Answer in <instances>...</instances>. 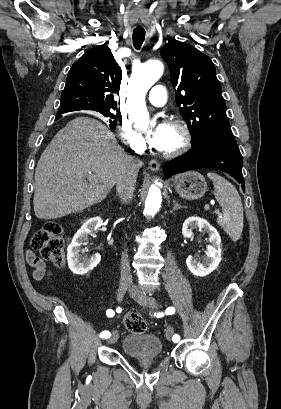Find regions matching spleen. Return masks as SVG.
Masks as SVG:
<instances>
[{
  "label": "spleen",
  "instance_id": "3e777b00",
  "mask_svg": "<svg viewBox=\"0 0 281 409\" xmlns=\"http://www.w3.org/2000/svg\"><path fill=\"white\" fill-rule=\"evenodd\" d=\"M214 184V194L220 207H222V217L217 219L218 225L226 231L231 241H239L244 225L243 205L241 196L229 180L216 174V172H207Z\"/></svg>",
  "mask_w": 281,
  "mask_h": 409
}]
</instances>
